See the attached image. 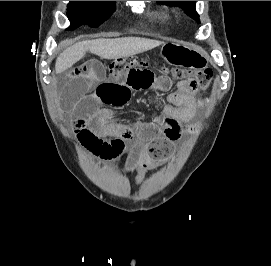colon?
<instances>
[{"mask_svg":"<svg viewBox=\"0 0 271 266\" xmlns=\"http://www.w3.org/2000/svg\"><path fill=\"white\" fill-rule=\"evenodd\" d=\"M147 60L137 57H128L113 61L109 65V72L112 76L122 74L133 66L147 65ZM172 75L180 80V86L183 90L196 93L206 91L213 78L212 71L209 69L196 70L192 72L184 70H172Z\"/></svg>","mask_w":271,"mask_h":266,"instance_id":"5ec220e1","label":"colon"}]
</instances>
